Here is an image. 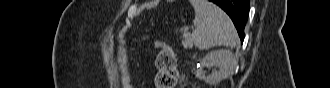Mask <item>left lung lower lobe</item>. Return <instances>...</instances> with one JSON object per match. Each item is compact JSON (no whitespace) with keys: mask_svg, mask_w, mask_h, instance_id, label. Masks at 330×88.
I'll return each mask as SVG.
<instances>
[{"mask_svg":"<svg viewBox=\"0 0 330 88\" xmlns=\"http://www.w3.org/2000/svg\"><path fill=\"white\" fill-rule=\"evenodd\" d=\"M222 8L232 19L241 43L244 40V27L249 13V0H210Z\"/></svg>","mask_w":330,"mask_h":88,"instance_id":"0a47b994","label":"left lung lower lobe"}]
</instances>
